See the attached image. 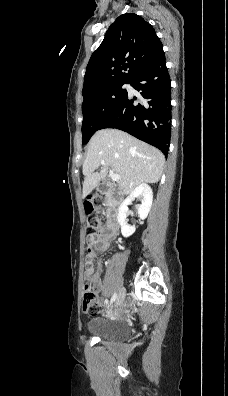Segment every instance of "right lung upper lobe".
Returning a JSON list of instances; mask_svg holds the SVG:
<instances>
[{
  "mask_svg": "<svg viewBox=\"0 0 228 396\" xmlns=\"http://www.w3.org/2000/svg\"><path fill=\"white\" fill-rule=\"evenodd\" d=\"M161 46L152 25L141 16H119L89 60L83 95L111 84L131 82Z\"/></svg>",
  "mask_w": 228,
  "mask_h": 396,
  "instance_id": "cb5924a9",
  "label": "right lung upper lobe"
}]
</instances>
